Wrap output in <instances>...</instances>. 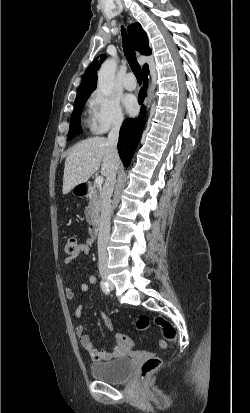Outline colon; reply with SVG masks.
Segmentation results:
<instances>
[{
  "label": "colon",
  "mask_w": 250,
  "mask_h": 413,
  "mask_svg": "<svg viewBox=\"0 0 250 413\" xmlns=\"http://www.w3.org/2000/svg\"><path fill=\"white\" fill-rule=\"evenodd\" d=\"M79 243L76 238L70 237L64 243V252L68 255H74L77 253ZM112 316L106 315L103 319V324L105 328L111 330L114 328V323L112 322ZM149 318L147 316H140L136 321V326L139 330H146L149 327ZM154 323L161 329L163 338L165 341L175 343L177 341L178 333L177 329L170 321L162 316H157L154 319ZM115 332L114 330L112 331ZM116 340L122 343L126 349L134 348L135 340L131 335L123 332H118L115 334ZM164 340L160 341V346L162 348L166 347V342ZM162 364V360L158 356H152L144 361L140 368V378L142 380L147 379L151 374L156 372Z\"/></svg>",
  "instance_id": "obj_1"
}]
</instances>
